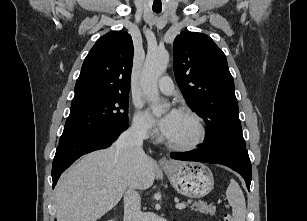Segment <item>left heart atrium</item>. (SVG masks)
<instances>
[{
	"mask_svg": "<svg viewBox=\"0 0 307 221\" xmlns=\"http://www.w3.org/2000/svg\"><path fill=\"white\" fill-rule=\"evenodd\" d=\"M179 115L180 112L176 109H173L157 121L164 136L168 137L171 134Z\"/></svg>",
	"mask_w": 307,
	"mask_h": 221,
	"instance_id": "39dd6f15",
	"label": "left heart atrium"
}]
</instances>
